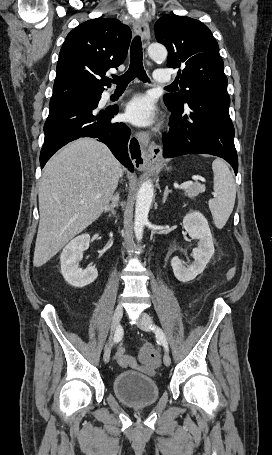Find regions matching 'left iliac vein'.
<instances>
[{"label":"left iliac vein","mask_w":272,"mask_h":455,"mask_svg":"<svg viewBox=\"0 0 272 455\" xmlns=\"http://www.w3.org/2000/svg\"><path fill=\"white\" fill-rule=\"evenodd\" d=\"M152 324H153V321H152L151 317L146 313H142L140 316L139 323H138L139 328L144 331H150ZM163 362H164L165 366H170V364H171V358L167 351L164 354Z\"/></svg>","instance_id":"1"}]
</instances>
